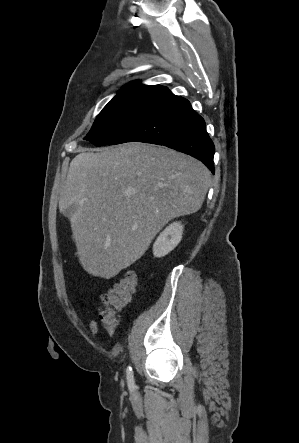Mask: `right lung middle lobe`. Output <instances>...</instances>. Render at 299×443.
<instances>
[{
  "label": "right lung middle lobe",
  "mask_w": 299,
  "mask_h": 443,
  "mask_svg": "<svg viewBox=\"0 0 299 443\" xmlns=\"http://www.w3.org/2000/svg\"><path fill=\"white\" fill-rule=\"evenodd\" d=\"M166 90L161 87L122 89L99 113L84 140L96 146L109 145Z\"/></svg>",
  "instance_id": "1"
}]
</instances>
